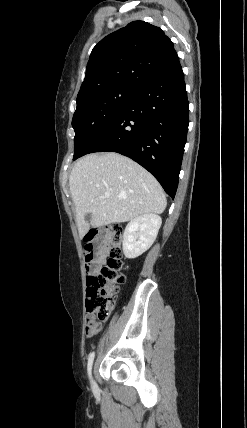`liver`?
Returning <instances> with one entry per match:
<instances>
[{
    "instance_id": "1",
    "label": "liver",
    "mask_w": 247,
    "mask_h": 428,
    "mask_svg": "<svg viewBox=\"0 0 247 428\" xmlns=\"http://www.w3.org/2000/svg\"><path fill=\"white\" fill-rule=\"evenodd\" d=\"M69 186L81 237L90 227L161 214L167 205L158 181L133 160L114 152L79 159L69 176ZM86 214H91L90 223Z\"/></svg>"
}]
</instances>
